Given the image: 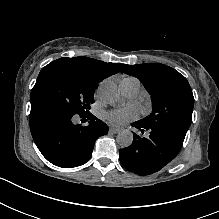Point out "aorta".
I'll use <instances>...</instances> for the list:
<instances>
[{
  "label": "aorta",
  "mask_w": 219,
  "mask_h": 219,
  "mask_svg": "<svg viewBox=\"0 0 219 219\" xmlns=\"http://www.w3.org/2000/svg\"><path fill=\"white\" fill-rule=\"evenodd\" d=\"M101 95L103 100L110 105H115L120 101V93L118 92L116 85L112 82L103 84ZM116 140L122 148L128 147L132 144L133 134L131 131L123 130L118 133Z\"/></svg>",
  "instance_id": "762f6f07"
}]
</instances>
